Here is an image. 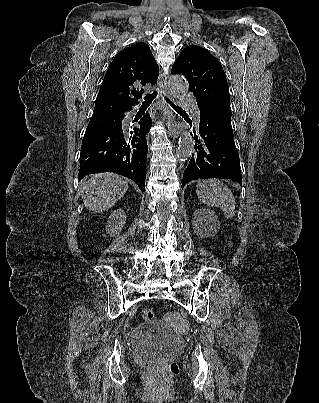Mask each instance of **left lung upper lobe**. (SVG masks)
<instances>
[{
  "label": "left lung upper lobe",
  "instance_id": "obj_1",
  "mask_svg": "<svg viewBox=\"0 0 319 403\" xmlns=\"http://www.w3.org/2000/svg\"><path fill=\"white\" fill-rule=\"evenodd\" d=\"M173 74H183L197 98L198 106H230V94L220 62L204 48L190 45L184 48L172 67Z\"/></svg>",
  "mask_w": 319,
  "mask_h": 403
}]
</instances>
